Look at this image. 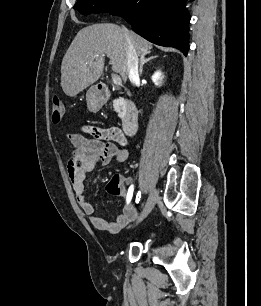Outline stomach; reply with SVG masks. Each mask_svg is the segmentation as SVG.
<instances>
[{
    "label": "stomach",
    "instance_id": "1",
    "mask_svg": "<svg viewBox=\"0 0 261 306\" xmlns=\"http://www.w3.org/2000/svg\"><path fill=\"white\" fill-rule=\"evenodd\" d=\"M87 107L92 112H97L103 105V100L98 90L93 86L86 93Z\"/></svg>",
    "mask_w": 261,
    "mask_h": 306
}]
</instances>
